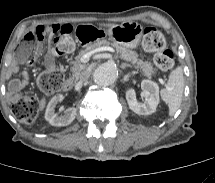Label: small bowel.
Wrapping results in <instances>:
<instances>
[{
    "label": "small bowel",
    "instance_id": "c3829d8e",
    "mask_svg": "<svg viewBox=\"0 0 215 183\" xmlns=\"http://www.w3.org/2000/svg\"><path fill=\"white\" fill-rule=\"evenodd\" d=\"M66 28H71V27L67 24H59V23L41 24V25L35 26L33 29H31L24 35L23 41L20 45V52L25 53L27 51V47L29 45H32L34 41H38L40 40V38H43L47 35L56 34L62 29H66ZM46 63L48 66L53 65L50 59H47ZM17 70H18L17 65L13 64L8 69V74L16 73ZM26 84H27L26 76H23L20 79H14L11 82L10 90L12 92H17L23 87H25Z\"/></svg>",
    "mask_w": 215,
    "mask_h": 183
}]
</instances>
